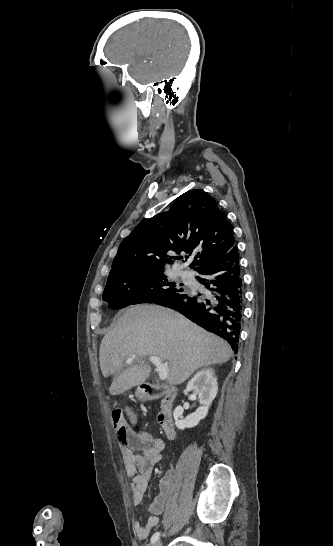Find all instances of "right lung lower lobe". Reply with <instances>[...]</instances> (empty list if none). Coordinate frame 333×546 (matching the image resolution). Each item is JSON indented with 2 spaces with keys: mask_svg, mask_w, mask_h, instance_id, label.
<instances>
[{
  "mask_svg": "<svg viewBox=\"0 0 333 546\" xmlns=\"http://www.w3.org/2000/svg\"><path fill=\"white\" fill-rule=\"evenodd\" d=\"M198 272L203 275L197 277L198 281L209 290L206 297L184 292L155 303L178 311L192 322L222 337L237 353L243 312V287L237 247Z\"/></svg>",
  "mask_w": 333,
  "mask_h": 546,
  "instance_id": "obj_1",
  "label": "right lung lower lobe"
}]
</instances>
